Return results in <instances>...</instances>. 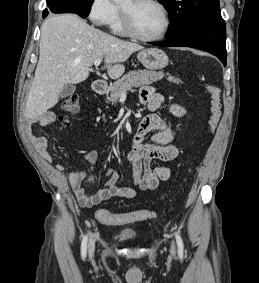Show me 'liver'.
<instances>
[{
  "label": "liver",
  "mask_w": 259,
  "mask_h": 283,
  "mask_svg": "<svg viewBox=\"0 0 259 283\" xmlns=\"http://www.w3.org/2000/svg\"><path fill=\"white\" fill-rule=\"evenodd\" d=\"M104 33L74 14L49 16L41 25L39 61L27 98L24 116L34 119L54 107L64 86L87 79L90 66L104 58L108 75L120 77L122 64L142 49Z\"/></svg>",
  "instance_id": "liver-1"
}]
</instances>
